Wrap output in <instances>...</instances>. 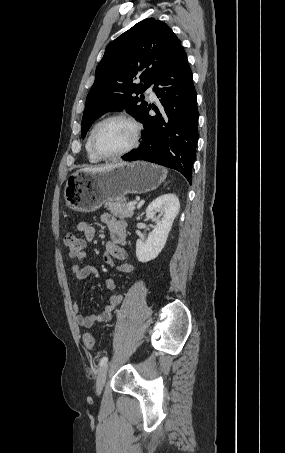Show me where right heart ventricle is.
Listing matches in <instances>:
<instances>
[{
  "instance_id": "e07e8e85",
  "label": "right heart ventricle",
  "mask_w": 285,
  "mask_h": 453,
  "mask_svg": "<svg viewBox=\"0 0 285 453\" xmlns=\"http://www.w3.org/2000/svg\"><path fill=\"white\" fill-rule=\"evenodd\" d=\"M94 128V127H93ZM93 128L91 129L88 137H87V140H86V144H85V149H86V153H87V158L88 160L91 162V163H98L101 161V159H99L93 152H92V149H91V144H90V141H91V134H92V131H93Z\"/></svg>"
}]
</instances>
